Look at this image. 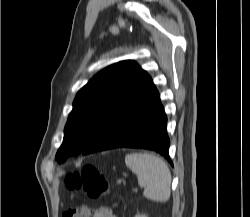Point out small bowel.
Listing matches in <instances>:
<instances>
[{"mask_svg":"<svg viewBox=\"0 0 250 217\" xmlns=\"http://www.w3.org/2000/svg\"><path fill=\"white\" fill-rule=\"evenodd\" d=\"M71 217H81L78 213L74 212ZM93 217H116L111 209L109 208H100L95 213H93Z\"/></svg>","mask_w":250,"mask_h":217,"instance_id":"1","label":"small bowel"}]
</instances>
